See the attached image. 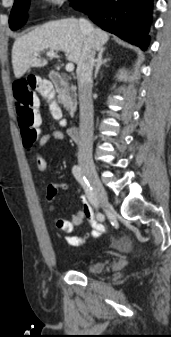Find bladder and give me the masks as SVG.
<instances>
[{
    "label": "bladder",
    "mask_w": 171,
    "mask_h": 337,
    "mask_svg": "<svg viewBox=\"0 0 171 337\" xmlns=\"http://www.w3.org/2000/svg\"><path fill=\"white\" fill-rule=\"evenodd\" d=\"M103 268H104V263L101 261L90 262L84 266V269L87 272L94 273V274L101 272Z\"/></svg>",
    "instance_id": "obj_1"
}]
</instances>
